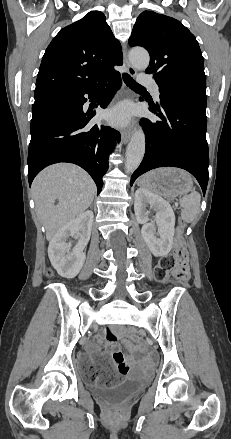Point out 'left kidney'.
Instances as JSON below:
<instances>
[{"label":"left kidney","mask_w":231,"mask_h":439,"mask_svg":"<svg viewBox=\"0 0 231 439\" xmlns=\"http://www.w3.org/2000/svg\"><path fill=\"white\" fill-rule=\"evenodd\" d=\"M156 211L158 233L153 222H149L147 206ZM134 210L137 222L143 224L141 233L145 243L156 257L166 256L173 245L175 215L171 206L160 196L139 188L135 192Z\"/></svg>","instance_id":"obj_1"}]
</instances>
